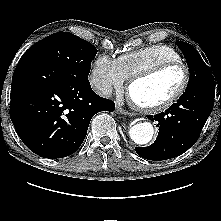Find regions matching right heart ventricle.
I'll return each mask as SVG.
<instances>
[{"instance_id":"1","label":"right heart ventricle","mask_w":221,"mask_h":221,"mask_svg":"<svg viewBox=\"0 0 221 221\" xmlns=\"http://www.w3.org/2000/svg\"><path fill=\"white\" fill-rule=\"evenodd\" d=\"M165 61H181V56L174 48L164 44H153L126 52L117 59L125 79Z\"/></svg>"}]
</instances>
